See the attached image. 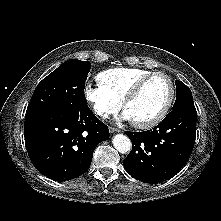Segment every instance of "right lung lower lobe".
Returning <instances> with one entry per match:
<instances>
[{"label": "right lung lower lobe", "mask_w": 221, "mask_h": 221, "mask_svg": "<svg viewBox=\"0 0 221 221\" xmlns=\"http://www.w3.org/2000/svg\"><path fill=\"white\" fill-rule=\"evenodd\" d=\"M24 135L36 169L66 181L89 169L95 147L109 138V130L89 108L75 113L43 110L26 113Z\"/></svg>", "instance_id": "obj_1"}]
</instances>
